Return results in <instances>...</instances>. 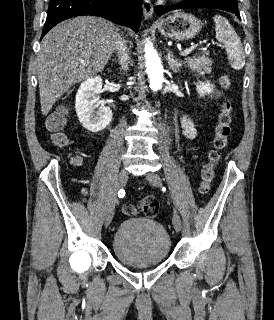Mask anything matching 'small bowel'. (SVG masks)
Here are the masks:
<instances>
[{"mask_svg": "<svg viewBox=\"0 0 274 320\" xmlns=\"http://www.w3.org/2000/svg\"><path fill=\"white\" fill-rule=\"evenodd\" d=\"M183 128L185 135L188 140H194L196 137V129L193 125V122L189 117H185L183 120ZM75 161H82L80 157L76 158ZM82 195H83V200L86 201L87 195H88V190L86 187H83L81 189Z\"/></svg>", "mask_w": 274, "mask_h": 320, "instance_id": "c3829d8e", "label": "small bowel"}]
</instances>
